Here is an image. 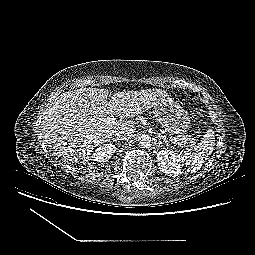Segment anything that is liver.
<instances>
[{"label":"liver","mask_w":255,"mask_h":255,"mask_svg":"<svg viewBox=\"0 0 255 255\" xmlns=\"http://www.w3.org/2000/svg\"><path fill=\"white\" fill-rule=\"evenodd\" d=\"M107 89L80 88L62 93L41 122L48 148L67 160L88 161L95 146L104 144L116 131L134 128L133 121L99 124L104 115L134 118L154 107L168 93L160 89L118 91L108 100Z\"/></svg>","instance_id":"obj_1"}]
</instances>
